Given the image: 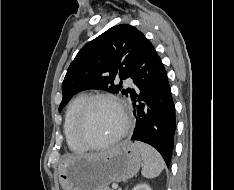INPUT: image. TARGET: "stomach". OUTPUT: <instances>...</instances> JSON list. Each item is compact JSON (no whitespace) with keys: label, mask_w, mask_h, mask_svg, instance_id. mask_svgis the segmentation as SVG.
<instances>
[{"label":"stomach","mask_w":234,"mask_h":190,"mask_svg":"<svg viewBox=\"0 0 234 190\" xmlns=\"http://www.w3.org/2000/svg\"><path fill=\"white\" fill-rule=\"evenodd\" d=\"M142 154L131 141H123L99 154L65 158L58 167L63 190H104L110 183L125 181L139 171Z\"/></svg>","instance_id":"obj_1"}]
</instances>
